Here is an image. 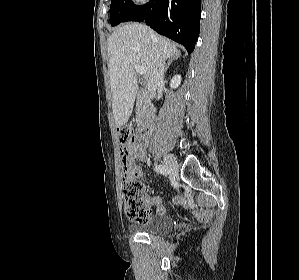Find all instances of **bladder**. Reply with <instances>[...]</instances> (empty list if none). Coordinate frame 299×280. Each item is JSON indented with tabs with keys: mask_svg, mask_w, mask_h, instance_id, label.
Here are the masks:
<instances>
[{
	"mask_svg": "<svg viewBox=\"0 0 299 280\" xmlns=\"http://www.w3.org/2000/svg\"><path fill=\"white\" fill-rule=\"evenodd\" d=\"M171 227V222L167 217L158 215L150 218L142 225L131 226L130 230L147 235H163L168 233Z\"/></svg>",
	"mask_w": 299,
	"mask_h": 280,
	"instance_id": "1",
	"label": "bladder"
}]
</instances>
